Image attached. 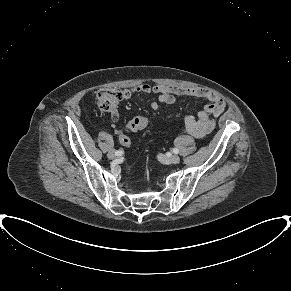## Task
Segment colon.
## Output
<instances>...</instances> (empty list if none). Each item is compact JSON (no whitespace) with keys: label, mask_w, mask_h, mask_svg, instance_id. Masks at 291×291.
I'll return each mask as SVG.
<instances>
[{"label":"colon","mask_w":291,"mask_h":291,"mask_svg":"<svg viewBox=\"0 0 291 291\" xmlns=\"http://www.w3.org/2000/svg\"><path fill=\"white\" fill-rule=\"evenodd\" d=\"M123 97V90L121 89H104L96 94V103L103 111H109L117 106ZM151 124L149 118L145 116H137L129 121L126 127V133L120 136V142L124 147H129L131 142L128 133L136 132L148 127Z\"/></svg>","instance_id":"colon-1"}]
</instances>
